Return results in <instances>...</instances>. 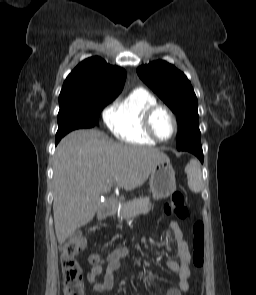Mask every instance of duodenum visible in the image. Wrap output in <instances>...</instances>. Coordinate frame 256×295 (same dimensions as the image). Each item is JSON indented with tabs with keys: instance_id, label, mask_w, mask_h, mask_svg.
Wrapping results in <instances>:
<instances>
[{
	"instance_id": "obj_1",
	"label": "duodenum",
	"mask_w": 256,
	"mask_h": 295,
	"mask_svg": "<svg viewBox=\"0 0 256 295\" xmlns=\"http://www.w3.org/2000/svg\"><path fill=\"white\" fill-rule=\"evenodd\" d=\"M113 211V204L112 203H104L99 206V217L100 219H105L111 215Z\"/></svg>"
}]
</instances>
